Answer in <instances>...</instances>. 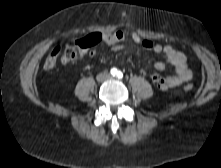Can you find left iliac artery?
<instances>
[{
	"label": "left iliac artery",
	"instance_id": "left-iliac-artery-1",
	"mask_svg": "<svg viewBox=\"0 0 221 168\" xmlns=\"http://www.w3.org/2000/svg\"><path fill=\"white\" fill-rule=\"evenodd\" d=\"M117 77H118V79H122L123 78V73L121 71H118Z\"/></svg>",
	"mask_w": 221,
	"mask_h": 168
}]
</instances>
